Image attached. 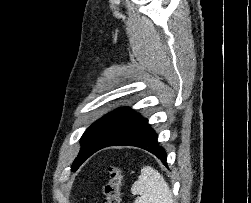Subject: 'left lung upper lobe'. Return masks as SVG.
Wrapping results in <instances>:
<instances>
[{
  "instance_id": "obj_1",
  "label": "left lung upper lobe",
  "mask_w": 251,
  "mask_h": 203,
  "mask_svg": "<svg viewBox=\"0 0 251 203\" xmlns=\"http://www.w3.org/2000/svg\"><path fill=\"white\" fill-rule=\"evenodd\" d=\"M139 117L140 114L130 108H118L93 123L81 137V149L72 165V171L77 169L95 149L107 143Z\"/></svg>"
}]
</instances>
